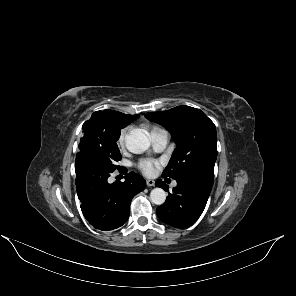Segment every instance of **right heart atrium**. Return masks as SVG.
<instances>
[{
  "label": "right heart atrium",
  "instance_id": "obj_1",
  "mask_svg": "<svg viewBox=\"0 0 296 296\" xmlns=\"http://www.w3.org/2000/svg\"><path fill=\"white\" fill-rule=\"evenodd\" d=\"M129 132V128H125L121 131L119 138H118V144L120 147H124L125 146V142H126V138Z\"/></svg>",
  "mask_w": 296,
  "mask_h": 296
}]
</instances>
